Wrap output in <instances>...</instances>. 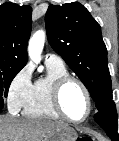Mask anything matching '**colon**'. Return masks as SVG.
Wrapping results in <instances>:
<instances>
[{"label": "colon", "mask_w": 119, "mask_h": 141, "mask_svg": "<svg viewBox=\"0 0 119 141\" xmlns=\"http://www.w3.org/2000/svg\"><path fill=\"white\" fill-rule=\"evenodd\" d=\"M76 141H92L89 137H79L76 139Z\"/></svg>", "instance_id": "obj_1"}]
</instances>
